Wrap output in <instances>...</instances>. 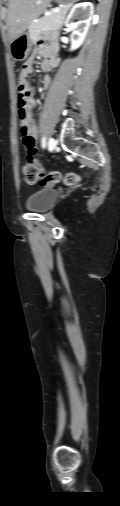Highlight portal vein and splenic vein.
<instances>
[{
  "label": "portal vein and splenic vein",
  "mask_w": 120,
  "mask_h": 506,
  "mask_svg": "<svg viewBox=\"0 0 120 506\" xmlns=\"http://www.w3.org/2000/svg\"><path fill=\"white\" fill-rule=\"evenodd\" d=\"M59 9H60V8H58V7H57V8H55V9H54V12H57V11H59Z\"/></svg>",
  "instance_id": "1"
}]
</instances>
